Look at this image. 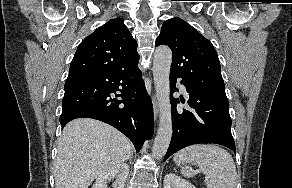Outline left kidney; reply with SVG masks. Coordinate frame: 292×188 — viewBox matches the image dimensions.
<instances>
[{"instance_id": "left-kidney-1", "label": "left kidney", "mask_w": 292, "mask_h": 188, "mask_svg": "<svg viewBox=\"0 0 292 188\" xmlns=\"http://www.w3.org/2000/svg\"><path fill=\"white\" fill-rule=\"evenodd\" d=\"M164 188H196L193 184L181 177L169 173L164 177Z\"/></svg>"}]
</instances>
